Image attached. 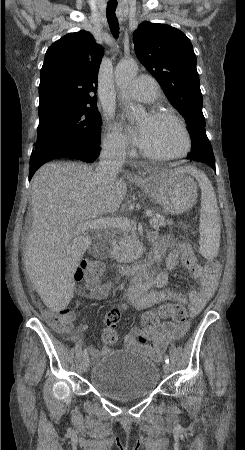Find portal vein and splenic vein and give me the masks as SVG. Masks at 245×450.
<instances>
[{
  "label": "portal vein and splenic vein",
  "mask_w": 245,
  "mask_h": 450,
  "mask_svg": "<svg viewBox=\"0 0 245 450\" xmlns=\"http://www.w3.org/2000/svg\"><path fill=\"white\" fill-rule=\"evenodd\" d=\"M147 217H152L153 212L147 211ZM131 227V222L128 218H100L95 219L93 221H87L81 224H78L74 229V234L83 233L89 230H98L103 228H119L126 229Z\"/></svg>",
  "instance_id": "18ae733b"
}]
</instances>
